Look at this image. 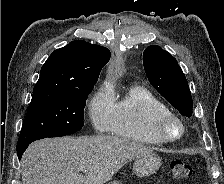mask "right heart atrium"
Wrapping results in <instances>:
<instances>
[{
    "mask_svg": "<svg viewBox=\"0 0 224 184\" xmlns=\"http://www.w3.org/2000/svg\"><path fill=\"white\" fill-rule=\"evenodd\" d=\"M114 99L112 91L108 87L102 86L88 101L90 122L99 132L110 129Z\"/></svg>",
    "mask_w": 224,
    "mask_h": 184,
    "instance_id": "obj_1",
    "label": "right heart atrium"
}]
</instances>
